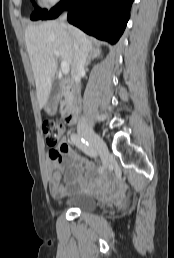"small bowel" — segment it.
Masks as SVG:
<instances>
[{"instance_id": "obj_1", "label": "small bowel", "mask_w": 174, "mask_h": 258, "mask_svg": "<svg viewBox=\"0 0 174 258\" xmlns=\"http://www.w3.org/2000/svg\"><path fill=\"white\" fill-rule=\"evenodd\" d=\"M61 147L63 150L58 158L53 156L54 150L49 152L47 170L49 189L53 197H62L70 187L83 189L105 198L118 196L119 187L109 175L97 178L92 161L79 155L68 141L64 140ZM63 172H65L64 180H62Z\"/></svg>"}]
</instances>
